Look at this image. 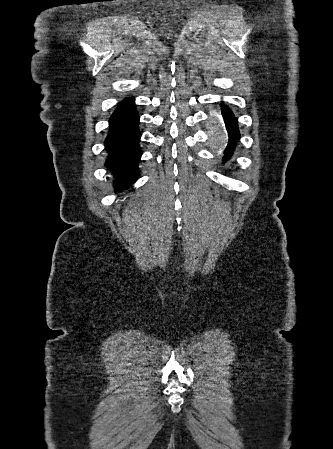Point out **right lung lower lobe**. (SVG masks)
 I'll use <instances>...</instances> for the list:
<instances>
[{
	"label": "right lung lower lobe",
	"mask_w": 333,
	"mask_h": 449,
	"mask_svg": "<svg viewBox=\"0 0 333 449\" xmlns=\"http://www.w3.org/2000/svg\"><path fill=\"white\" fill-rule=\"evenodd\" d=\"M138 124L139 115L133 98H125L109 119V133L105 140L106 167L115 176L117 191L134 183L139 174L141 133Z\"/></svg>",
	"instance_id": "1"
}]
</instances>
